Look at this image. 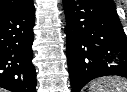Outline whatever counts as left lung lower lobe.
I'll return each mask as SVG.
<instances>
[{"mask_svg": "<svg viewBox=\"0 0 127 92\" xmlns=\"http://www.w3.org/2000/svg\"><path fill=\"white\" fill-rule=\"evenodd\" d=\"M67 22V59L72 92L94 78H127V39L114 3L63 0Z\"/></svg>", "mask_w": 127, "mask_h": 92, "instance_id": "1", "label": "left lung lower lobe"}]
</instances>
